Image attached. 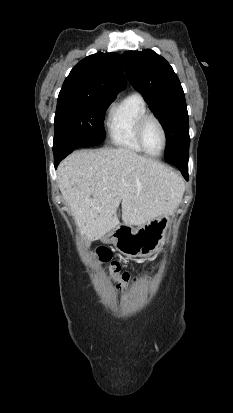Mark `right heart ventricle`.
Wrapping results in <instances>:
<instances>
[{
    "label": "right heart ventricle",
    "instance_id": "obj_1",
    "mask_svg": "<svg viewBox=\"0 0 233 413\" xmlns=\"http://www.w3.org/2000/svg\"><path fill=\"white\" fill-rule=\"evenodd\" d=\"M146 112V101L138 92H132L115 103L106 123L110 143L127 151L143 153L136 139L135 128L138 119Z\"/></svg>",
    "mask_w": 233,
    "mask_h": 413
}]
</instances>
